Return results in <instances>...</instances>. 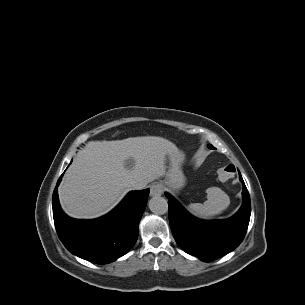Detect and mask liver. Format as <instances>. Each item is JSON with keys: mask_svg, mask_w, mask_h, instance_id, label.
<instances>
[{"mask_svg": "<svg viewBox=\"0 0 305 305\" xmlns=\"http://www.w3.org/2000/svg\"><path fill=\"white\" fill-rule=\"evenodd\" d=\"M174 143L156 136L90 141L77 153L58 187L60 205L70 217L94 219L115 208L132 190L166 174Z\"/></svg>", "mask_w": 305, "mask_h": 305, "instance_id": "6515ba94", "label": "liver"}]
</instances>
